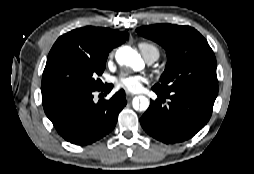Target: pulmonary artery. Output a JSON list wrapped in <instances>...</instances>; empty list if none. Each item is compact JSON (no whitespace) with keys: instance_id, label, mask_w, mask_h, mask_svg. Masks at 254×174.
Returning a JSON list of instances; mask_svg holds the SVG:
<instances>
[{"instance_id":"pulmonary-artery-1","label":"pulmonary artery","mask_w":254,"mask_h":174,"mask_svg":"<svg viewBox=\"0 0 254 174\" xmlns=\"http://www.w3.org/2000/svg\"><path fill=\"white\" fill-rule=\"evenodd\" d=\"M158 58L155 55H150L148 57L145 58L146 62L148 64H152L154 63Z\"/></svg>"}]
</instances>
